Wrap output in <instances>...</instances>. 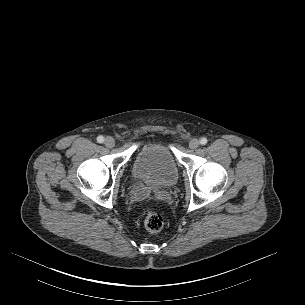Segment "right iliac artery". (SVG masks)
<instances>
[{"label":"right iliac artery","mask_w":305,"mask_h":305,"mask_svg":"<svg viewBox=\"0 0 305 305\" xmlns=\"http://www.w3.org/2000/svg\"><path fill=\"white\" fill-rule=\"evenodd\" d=\"M97 141H98L99 143H103V142H104V137H103V136H98V137H97Z\"/></svg>","instance_id":"1"}]
</instances>
